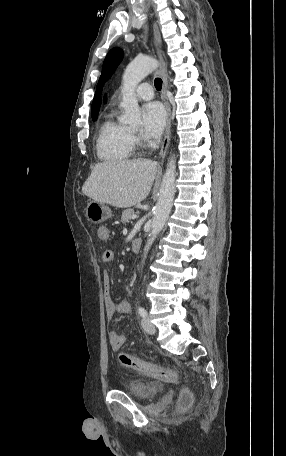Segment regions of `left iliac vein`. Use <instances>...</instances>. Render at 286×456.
<instances>
[{"label": "left iliac vein", "instance_id": "4c4485c4", "mask_svg": "<svg viewBox=\"0 0 286 456\" xmlns=\"http://www.w3.org/2000/svg\"><path fill=\"white\" fill-rule=\"evenodd\" d=\"M142 328L144 331L150 335L155 334L156 329L155 326L150 322L148 318H143L141 321Z\"/></svg>", "mask_w": 286, "mask_h": 456}]
</instances>
